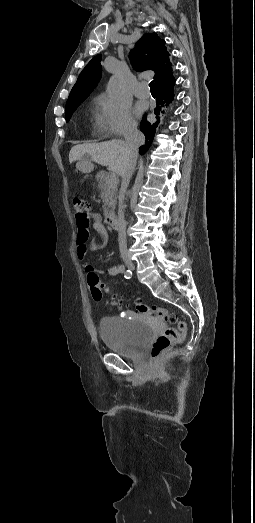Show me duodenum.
<instances>
[{"label":"duodenum","instance_id":"obj_1","mask_svg":"<svg viewBox=\"0 0 255 523\" xmlns=\"http://www.w3.org/2000/svg\"><path fill=\"white\" fill-rule=\"evenodd\" d=\"M106 224L112 228L116 229L118 227V218L115 214H109L106 216Z\"/></svg>","mask_w":255,"mask_h":523}]
</instances>
